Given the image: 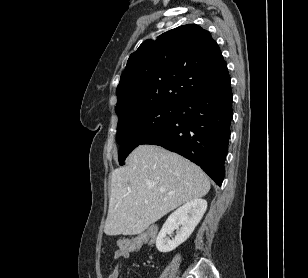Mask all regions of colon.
<instances>
[{"label":"colon","instance_id":"1","mask_svg":"<svg viewBox=\"0 0 308 278\" xmlns=\"http://www.w3.org/2000/svg\"><path fill=\"white\" fill-rule=\"evenodd\" d=\"M160 232L157 230L156 226H148L147 232L142 235H134L133 240L128 238H123L119 240L118 248L119 250H128L129 253H139L140 247L143 243L150 241V245L155 247L157 245V237Z\"/></svg>","mask_w":308,"mask_h":278}]
</instances>
